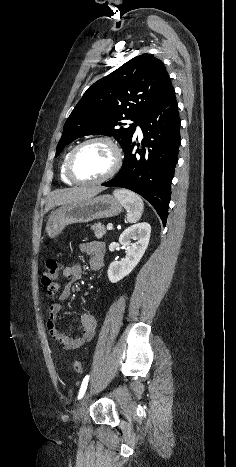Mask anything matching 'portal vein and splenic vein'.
Listing matches in <instances>:
<instances>
[{
	"instance_id": "18ae733b",
	"label": "portal vein and splenic vein",
	"mask_w": 236,
	"mask_h": 467,
	"mask_svg": "<svg viewBox=\"0 0 236 467\" xmlns=\"http://www.w3.org/2000/svg\"><path fill=\"white\" fill-rule=\"evenodd\" d=\"M107 229H108V230H112V229H113V225H112L111 223H109V224L107 225Z\"/></svg>"
}]
</instances>
